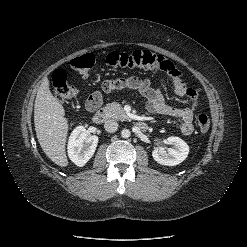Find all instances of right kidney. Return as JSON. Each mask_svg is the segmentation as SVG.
Wrapping results in <instances>:
<instances>
[{
  "instance_id": "ca27d5eb",
  "label": "right kidney",
  "mask_w": 247,
  "mask_h": 247,
  "mask_svg": "<svg viewBox=\"0 0 247 247\" xmlns=\"http://www.w3.org/2000/svg\"><path fill=\"white\" fill-rule=\"evenodd\" d=\"M98 144V137L89 135L83 126L76 127L68 141V156L79 167L84 166L93 156Z\"/></svg>"
}]
</instances>
